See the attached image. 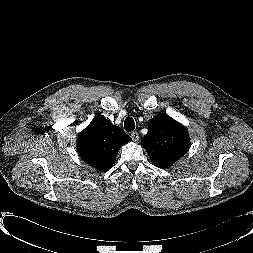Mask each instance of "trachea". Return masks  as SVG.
<instances>
[{
  "label": "trachea",
  "mask_w": 253,
  "mask_h": 253,
  "mask_svg": "<svg viewBox=\"0 0 253 253\" xmlns=\"http://www.w3.org/2000/svg\"><path fill=\"white\" fill-rule=\"evenodd\" d=\"M124 128L127 132H132L135 129V123L131 117L125 119Z\"/></svg>",
  "instance_id": "1"
}]
</instances>
